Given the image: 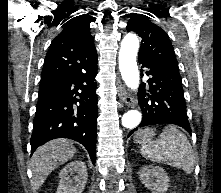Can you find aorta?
Returning a JSON list of instances; mask_svg holds the SVG:
<instances>
[{
    "label": "aorta",
    "instance_id": "obj_1",
    "mask_svg": "<svg viewBox=\"0 0 221 193\" xmlns=\"http://www.w3.org/2000/svg\"><path fill=\"white\" fill-rule=\"evenodd\" d=\"M139 49V39L134 34H127L120 45L119 69L122 79L131 89L139 86V71L136 57ZM142 115L137 110H130L122 117V125L125 128L133 129L141 122Z\"/></svg>",
    "mask_w": 221,
    "mask_h": 193
}]
</instances>
